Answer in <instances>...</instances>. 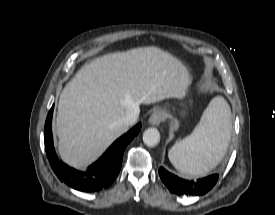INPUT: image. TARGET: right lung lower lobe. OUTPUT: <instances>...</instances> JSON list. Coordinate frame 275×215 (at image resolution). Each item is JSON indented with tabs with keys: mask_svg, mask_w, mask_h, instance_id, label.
<instances>
[{
	"mask_svg": "<svg viewBox=\"0 0 275 215\" xmlns=\"http://www.w3.org/2000/svg\"><path fill=\"white\" fill-rule=\"evenodd\" d=\"M52 115L53 106L45 122L44 142L47 157L57 177L72 188L85 192L99 191L111 185L121 168L124 150L139 133L141 123H138L129 132L117 139L97 162L88 167L86 172H80L67 166L57 158L51 130Z\"/></svg>",
	"mask_w": 275,
	"mask_h": 215,
	"instance_id": "right-lung-lower-lobe-1",
	"label": "right lung lower lobe"
}]
</instances>
